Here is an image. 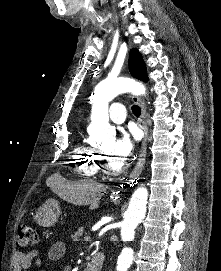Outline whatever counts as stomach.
<instances>
[{
  "label": "stomach",
  "mask_w": 221,
  "mask_h": 271,
  "mask_svg": "<svg viewBox=\"0 0 221 271\" xmlns=\"http://www.w3.org/2000/svg\"><path fill=\"white\" fill-rule=\"evenodd\" d=\"M60 213L58 201L48 199V201H45V203L39 207L38 211H36L34 219L38 225L47 227V225H54V223H56Z\"/></svg>",
  "instance_id": "obj_1"
}]
</instances>
